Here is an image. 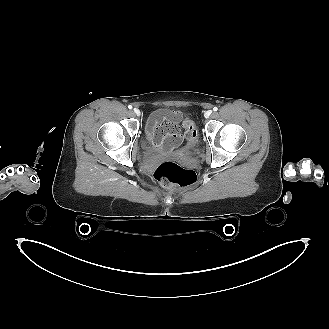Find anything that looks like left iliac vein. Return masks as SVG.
<instances>
[{"label": "left iliac vein", "mask_w": 329, "mask_h": 329, "mask_svg": "<svg viewBox=\"0 0 329 329\" xmlns=\"http://www.w3.org/2000/svg\"><path fill=\"white\" fill-rule=\"evenodd\" d=\"M211 114H212V110H207V111L204 113V117H205V118H208Z\"/></svg>", "instance_id": "left-iliac-vein-1"}]
</instances>
